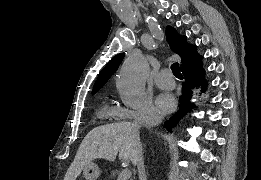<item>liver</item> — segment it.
Here are the masks:
<instances>
[{"mask_svg":"<svg viewBox=\"0 0 261 180\" xmlns=\"http://www.w3.org/2000/svg\"><path fill=\"white\" fill-rule=\"evenodd\" d=\"M133 122H116L93 128L85 136L72 166L69 168L68 180H76L87 164L96 158H104L108 162L133 160L141 148V140Z\"/></svg>","mask_w":261,"mask_h":180,"instance_id":"1","label":"liver"}]
</instances>
